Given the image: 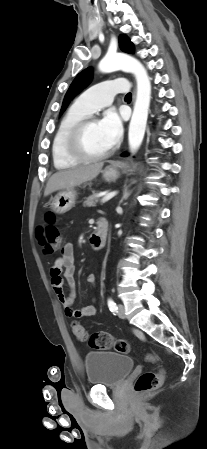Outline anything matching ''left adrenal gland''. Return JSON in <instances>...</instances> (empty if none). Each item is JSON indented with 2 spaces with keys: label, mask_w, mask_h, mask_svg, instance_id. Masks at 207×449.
<instances>
[{
  "label": "left adrenal gland",
  "mask_w": 207,
  "mask_h": 449,
  "mask_svg": "<svg viewBox=\"0 0 207 449\" xmlns=\"http://www.w3.org/2000/svg\"><path fill=\"white\" fill-rule=\"evenodd\" d=\"M128 188H129V186L124 187L122 201L126 200L131 194V192L128 191Z\"/></svg>",
  "instance_id": "a2214340"
}]
</instances>
